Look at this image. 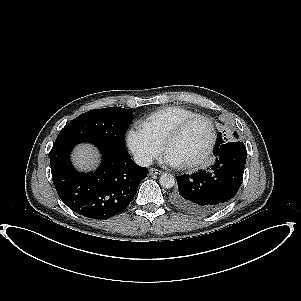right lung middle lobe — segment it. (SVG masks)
Wrapping results in <instances>:
<instances>
[{
    "mask_svg": "<svg viewBox=\"0 0 301 301\" xmlns=\"http://www.w3.org/2000/svg\"><path fill=\"white\" fill-rule=\"evenodd\" d=\"M132 109L109 107L79 115L59 133L55 143L71 140H106L125 147V131L132 120Z\"/></svg>",
    "mask_w": 301,
    "mask_h": 301,
    "instance_id": "obj_1",
    "label": "right lung middle lobe"
}]
</instances>
